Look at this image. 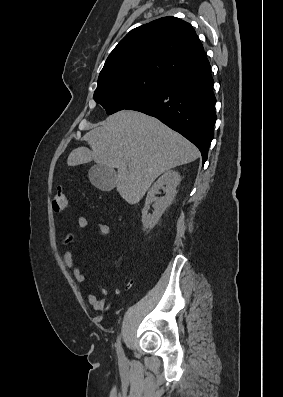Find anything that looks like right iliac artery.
Masks as SVG:
<instances>
[{
  "label": "right iliac artery",
  "instance_id": "1",
  "mask_svg": "<svg viewBox=\"0 0 283 397\" xmlns=\"http://www.w3.org/2000/svg\"><path fill=\"white\" fill-rule=\"evenodd\" d=\"M116 350H117L118 357L120 359H123L124 358V353H123V349L121 347L120 336L117 339Z\"/></svg>",
  "mask_w": 283,
  "mask_h": 397
}]
</instances>
